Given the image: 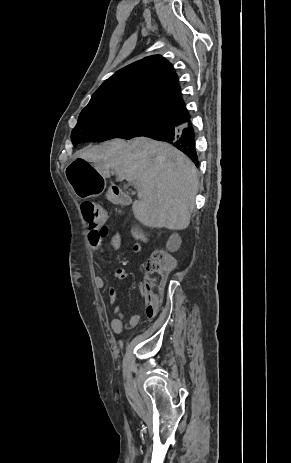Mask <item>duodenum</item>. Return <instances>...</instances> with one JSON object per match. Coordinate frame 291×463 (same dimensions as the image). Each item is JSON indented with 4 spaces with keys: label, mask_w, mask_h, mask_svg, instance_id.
Returning <instances> with one entry per match:
<instances>
[{
    "label": "duodenum",
    "mask_w": 291,
    "mask_h": 463,
    "mask_svg": "<svg viewBox=\"0 0 291 463\" xmlns=\"http://www.w3.org/2000/svg\"><path fill=\"white\" fill-rule=\"evenodd\" d=\"M113 197L121 204H125L128 202V198L125 194H123L118 189H114L112 192Z\"/></svg>",
    "instance_id": "obj_1"
}]
</instances>
